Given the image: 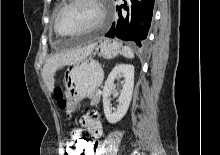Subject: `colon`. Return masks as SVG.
Listing matches in <instances>:
<instances>
[{
	"label": "colon",
	"instance_id": "colon-1",
	"mask_svg": "<svg viewBox=\"0 0 220 155\" xmlns=\"http://www.w3.org/2000/svg\"><path fill=\"white\" fill-rule=\"evenodd\" d=\"M55 98L58 102V105L61 108L66 107V101L64 98V92L61 88H56L54 91ZM79 139H68L66 146H64L65 155H89L91 151L92 142H88L87 139H84V135H79Z\"/></svg>",
	"mask_w": 220,
	"mask_h": 155
}]
</instances>
